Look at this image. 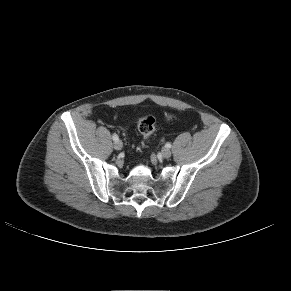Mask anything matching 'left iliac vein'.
<instances>
[{"label":"left iliac vein","mask_w":291,"mask_h":291,"mask_svg":"<svg viewBox=\"0 0 291 291\" xmlns=\"http://www.w3.org/2000/svg\"><path fill=\"white\" fill-rule=\"evenodd\" d=\"M162 156H163L164 158H169V157L171 156V151H170V149H168V148H164V149L162 150Z\"/></svg>","instance_id":"obj_1"}]
</instances>
